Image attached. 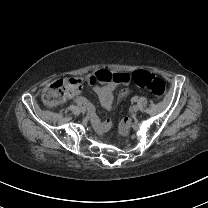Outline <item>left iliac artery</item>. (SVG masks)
I'll return each instance as SVG.
<instances>
[{"label": "left iliac artery", "mask_w": 208, "mask_h": 208, "mask_svg": "<svg viewBox=\"0 0 208 208\" xmlns=\"http://www.w3.org/2000/svg\"><path fill=\"white\" fill-rule=\"evenodd\" d=\"M132 101L136 102L137 101V97H133Z\"/></svg>", "instance_id": "obj_1"}]
</instances>
